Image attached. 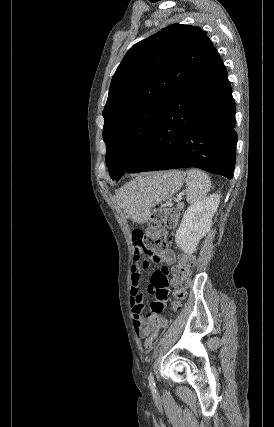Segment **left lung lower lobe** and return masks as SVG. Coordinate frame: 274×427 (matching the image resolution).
I'll list each match as a JSON object with an SVG mask.
<instances>
[{"mask_svg":"<svg viewBox=\"0 0 274 427\" xmlns=\"http://www.w3.org/2000/svg\"><path fill=\"white\" fill-rule=\"evenodd\" d=\"M226 68L213 47L164 111L148 145L125 171L196 167L233 178L237 134ZM122 174L111 177L118 181Z\"/></svg>","mask_w":274,"mask_h":427,"instance_id":"left-lung-lower-lobe-1","label":"left lung lower lobe"}]
</instances>
